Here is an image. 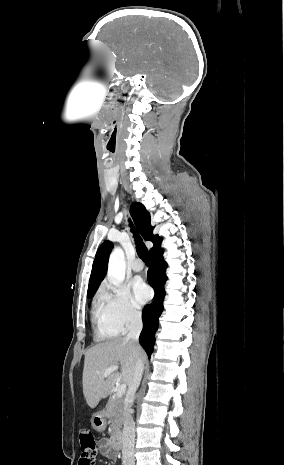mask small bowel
<instances>
[{
  "mask_svg": "<svg viewBox=\"0 0 284 465\" xmlns=\"http://www.w3.org/2000/svg\"><path fill=\"white\" fill-rule=\"evenodd\" d=\"M98 448L100 450V453L111 459V460H115L117 459L118 457V452L117 450L113 447V445L111 444V441L108 439V438H102L98 441Z\"/></svg>",
  "mask_w": 284,
  "mask_h": 465,
  "instance_id": "small-bowel-1",
  "label": "small bowel"
}]
</instances>
